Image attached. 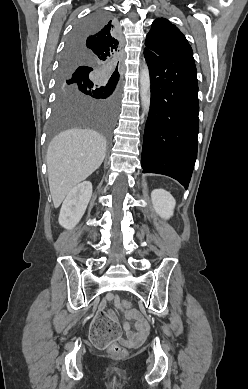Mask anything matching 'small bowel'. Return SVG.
<instances>
[{
  "label": "small bowel",
  "mask_w": 248,
  "mask_h": 389,
  "mask_svg": "<svg viewBox=\"0 0 248 389\" xmlns=\"http://www.w3.org/2000/svg\"><path fill=\"white\" fill-rule=\"evenodd\" d=\"M114 301L118 308H121L119 296L113 293H108L105 296L104 301L100 304V309L104 310L106 302ZM110 318L116 319V315L113 312L109 313ZM124 323L123 329L126 337L120 338L128 346H135L140 344L147 335L148 327L142 318L141 314L136 311H127L123 313Z\"/></svg>",
  "instance_id": "c3829d8e"
}]
</instances>
